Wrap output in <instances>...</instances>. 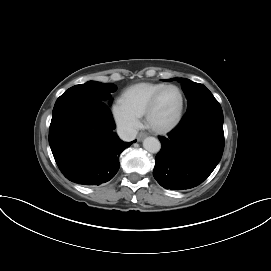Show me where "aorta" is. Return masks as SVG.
<instances>
[{
	"instance_id": "762f6f07",
	"label": "aorta",
	"mask_w": 271,
	"mask_h": 271,
	"mask_svg": "<svg viewBox=\"0 0 271 271\" xmlns=\"http://www.w3.org/2000/svg\"><path fill=\"white\" fill-rule=\"evenodd\" d=\"M143 147L150 153H157L161 149L160 141L155 137H147L143 141Z\"/></svg>"
}]
</instances>
